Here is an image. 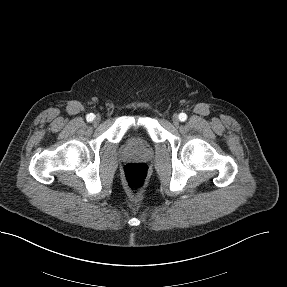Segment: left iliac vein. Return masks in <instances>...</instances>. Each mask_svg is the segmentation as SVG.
I'll use <instances>...</instances> for the list:
<instances>
[{
  "instance_id": "obj_1",
  "label": "left iliac vein",
  "mask_w": 287,
  "mask_h": 287,
  "mask_svg": "<svg viewBox=\"0 0 287 287\" xmlns=\"http://www.w3.org/2000/svg\"><path fill=\"white\" fill-rule=\"evenodd\" d=\"M172 122H173L174 126H176V127L179 125V118H178L177 114H174L172 116Z\"/></svg>"
}]
</instances>
